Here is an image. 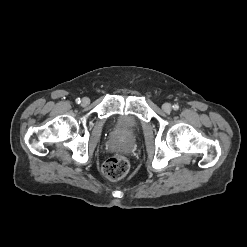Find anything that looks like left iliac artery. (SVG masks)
I'll return each instance as SVG.
<instances>
[{"label":"left iliac artery","instance_id":"left-iliac-artery-1","mask_svg":"<svg viewBox=\"0 0 247 247\" xmlns=\"http://www.w3.org/2000/svg\"><path fill=\"white\" fill-rule=\"evenodd\" d=\"M173 109H174V110H178V109H179V105H178V104H174V105H173Z\"/></svg>","mask_w":247,"mask_h":247}]
</instances>
